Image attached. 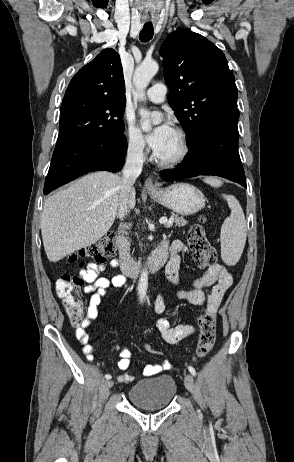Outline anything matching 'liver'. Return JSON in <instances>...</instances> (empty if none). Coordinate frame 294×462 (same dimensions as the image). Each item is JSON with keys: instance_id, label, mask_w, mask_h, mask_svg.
<instances>
[{"instance_id": "liver-1", "label": "liver", "mask_w": 294, "mask_h": 462, "mask_svg": "<svg viewBox=\"0 0 294 462\" xmlns=\"http://www.w3.org/2000/svg\"><path fill=\"white\" fill-rule=\"evenodd\" d=\"M121 186L118 175L97 171L47 198L41 233L51 262L94 244L108 232L116 218ZM135 204L133 187L129 208Z\"/></svg>"}]
</instances>
